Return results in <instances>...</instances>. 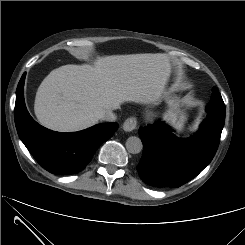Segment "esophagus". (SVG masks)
<instances>
[{"label": "esophagus", "instance_id": "34e87169", "mask_svg": "<svg viewBox=\"0 0 245 245\" xmlns=\"http://www.w3.org/2000/svg\"><path fill=\"white\" fill-rule=\"evenodd\" d=\"M136 126H137V119L136 117L132 116L125 120L122 128L126 132H131L136 128Z\"/></svg>", "mask_w": 245, "mask_h": 245}]
</instances>
